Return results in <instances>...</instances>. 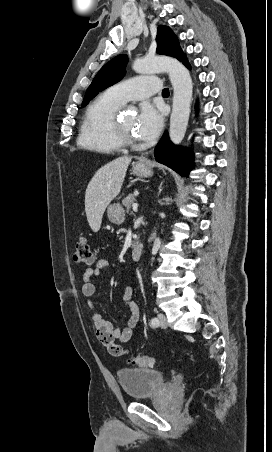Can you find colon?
I'll use <instances>...</instances> for the list:
<instances>
[{
	"instance_id": "obj_1",
	"label": "colon",
	"mask_w": 272,
	"mask_h": 452,
	"mask_svg": "<svg viewBox=\"0 0 272 452\" xmlns=\"http://www.w3.org/2000/svg\"><path fill=\"white\" fill-rule=\"evenodd\" d=\"M73 262L78 266H89L93 264L94 256L87 238L81 237L78 239L73 255ZM112 350L120 354L127 353V350L121 347H114ZM131 362L141 367H153L155 365V359L148 355H138L133 357Z\"/></svg>"
}]
</instances>
